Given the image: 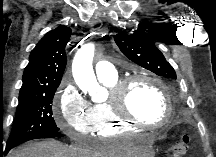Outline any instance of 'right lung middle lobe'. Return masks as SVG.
<instances>
[{"label":"right lung middle lobe","mask_w":216,"mask_h":157,"mask_svg":"<svg viewBox=\"0 0 216 157\" xmlns=\"http://www.w3.org/2000/svg\"><path fill=\"white\" fill-rule=\"evenodd\" d=\"M55 91L56 89L34 92L19 98L16 117L6 146L14 147L59 132L52 117L51 104Z\"/></svg>","instance_id":"right-lung-middle-lobe-1"}]
</instances>
